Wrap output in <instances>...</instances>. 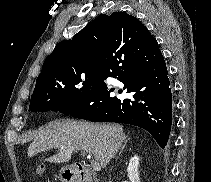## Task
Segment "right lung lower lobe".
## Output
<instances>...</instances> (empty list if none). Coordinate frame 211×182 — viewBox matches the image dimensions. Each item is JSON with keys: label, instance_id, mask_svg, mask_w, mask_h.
Listing matches in <instances>:
<instances>
[{"label": "right lung lower lobe", "instance_id": "right-lung-lower-lobe-1", "mask_svg": "<svg viewBox=\"0 0 211 182\" xmlns=\"http://www.w3.org/2000/svg\"><path fill=\"white\" fill-rule=\"evenodd\" d=\"M100 76L90 93L67 114L95 122H116L147 130L164 148L172 124V94L164 57L153 36L121 46L108 45ZM124 84L118 98L104 80Z\"/></svg>", "mask_w": 211, "mask_h": 182}]
</instances>
